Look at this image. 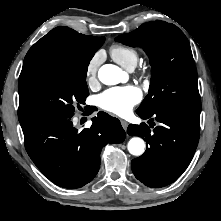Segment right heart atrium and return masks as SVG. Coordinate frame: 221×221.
<instances>
[{
	"label": "right heart atrium",
	"mask_w": 221,
	"mask_h": 221,
	"mask_svg": "<svg viewBox=\"0 0 221 221\" xmlns=\"http://www.w3.org/2000/svg\"><path fill=\"white\" fill-rule=\"evenodd\" d=\"M102 61L101 52L95 53L88 61L85 68V78L89 85L97 81V72Z\"/></svg>",
	"instance_id": "1"
}]
</instances>
